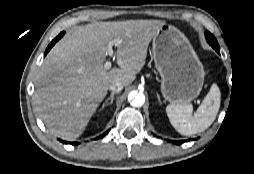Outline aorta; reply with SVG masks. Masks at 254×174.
I'll return each instance as SVG.
<instances>
[{"label": "aorta", "instance_id": "aorta-1", "mask_svg": "<svg viewBox=\"0 0 254 174\" xmlns=\"http://www.w3.org/2000/svg\"><path fill=\"white\" fill-rule=\"evenodd\" d=\"M128 100L133 107H141L145 103V95L141 92L132 91L128 95Z\"/></svg>", "mask_w": 254, "mask_h": 174}]
</instances>
